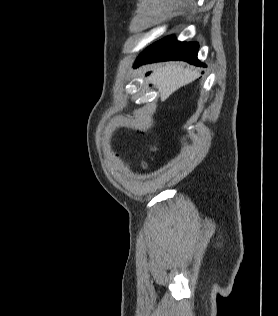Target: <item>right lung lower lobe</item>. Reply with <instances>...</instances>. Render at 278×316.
Returning a JSON list of instances; mask_svg holds the SVG:
<instances>
[{
  "label": "right lung lower lobe",
  "instance_id": "right-lung-lower-lobe-1",
  "mask_svg": "<svg viewBox=\"0 0 278 316\" xmlns=\"http://www.w3.org/2000/svg\"><path fill=\"white\" fill-rule=\"evenodd\" d=\"M198 48L199 45L196 42H179L174 36H168L146 48L137 58L134 67L167 60H184L191 64L205 66L197 59Z\"/></svg>",
  "mask_w": 278,
  "mask_h": 316
}]
</instances>
